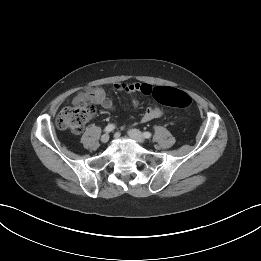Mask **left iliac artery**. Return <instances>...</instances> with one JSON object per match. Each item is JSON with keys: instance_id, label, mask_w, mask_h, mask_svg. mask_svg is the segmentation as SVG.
<instances>
[{"instance_id": "left-iliac-artery-1", "label": "left iliac artery", "mask_w": 261, "mask_h": 261, "mask_svg": "<svg viewBox=\"0 0 261 261\" xmlns=\"http://www.w3.org/2000/svg\"><path fill=\"white\" fill-rule=\"evenodd\" d=\"M143 136L145 137V138H150L151 136H152V134L150 133V132H144L143 133Z\"/></svg>"}]
</instances>
